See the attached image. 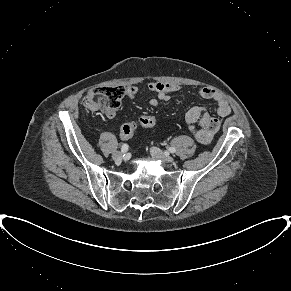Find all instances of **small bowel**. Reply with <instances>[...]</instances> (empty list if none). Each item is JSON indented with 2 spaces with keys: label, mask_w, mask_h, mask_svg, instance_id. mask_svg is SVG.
Masks as SVG:
<instances>
[{
  "label": "small bowel",
  "mask_w": 291,
  "mask_h": 291,
  "mask_svg": "<svg viewBox=\"0 0 291 291\" xmlns=\"http://www.w3.org/2000/svg\"><path fill=\"white\" fill-rule=\"evenodd\" d=\"M148 89L156 94V97L149 101L150 106L158 107L161 102H167L170 100V94L178 91L179 86L174 83L165 82H150ZM140 88L135 85H128L125 87V95L127 98L135 99ZM202 98L207 100H213L217 104V114L221 117H225L231 114V106L227 99L218 91L204 87L199 91ZM117 111L115 109L106 110L105 114L108 118H114ZM185 121L188 125L190 132L194 137L202 144H208L211 142L214 134L220 128V120L210 116L204 107L195 106L187 111L185 114Z\"/></svg>",
  "instance_id": "1"
}]
</instances>
